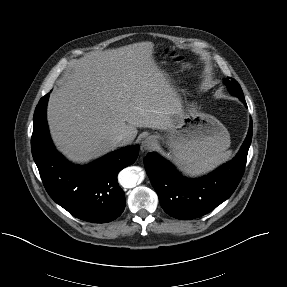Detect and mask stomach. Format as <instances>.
<instances>
[{
  "label": "stomach",
  "instance_id": "1",
  "mask_svg": "<svg viewBox=\"0 0 287 287\" xmlns=\"http://www.w3.org/2000/svg\"><path fill=\"white\" fill-rule=\"evenodd\" d=\"M158 138L171 149L174 160L186 167L224 152L231 143L228 130L217 118L187 102L178 122Z\"/></svg>",
  "mask_w": 287,
  "mask_h": 287
}]
</instances>
